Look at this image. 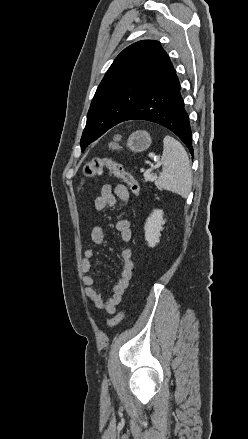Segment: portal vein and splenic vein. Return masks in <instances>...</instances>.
I'll use <instances>...</instances> for the list:
<instances>
[{
	"label": "portal vein and splenic vein",
	"mask_w": 248,
	"mask_h": 439,
	"mask_svg": "<svg viewBox=\"0 0 248 439\" xmlns=\"http://www.w3.org/2000/svg\"><path fill=\"white\" fill-rule=\"evenodd\" d=\"M156 167H157V166H152V167L150 168V170H148V171H146V172L144 173V177H145L146 180L153 181V180L156 178V177H153V176L150 174V171L154 170Z\"/></svg>",
	"instance_id": "portal-vein-and-splenic-vein-1"
}]
</instances>
